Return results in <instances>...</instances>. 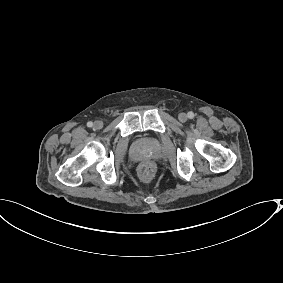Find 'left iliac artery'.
<instances>
[{
    "instance_id": "left-iliac-artery-1",
    "label": "left iliac artery",
    "mask_w": 283,
    "mask_h": 283,
    "mask_svg": "<svg viewBox=\"0 0 283 283\" xmlns=\"http://www.w3.org/2000/svg\"><path fill=\"white\" fill-rule=\"evenodd\" d=\"M188 118L193 119L194 118V113L192 111L188 112Z\"/></svg>"
}]
</instances>
